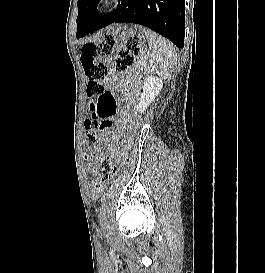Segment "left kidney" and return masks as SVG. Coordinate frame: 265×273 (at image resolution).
Returning a JSON list of instances; mask_svg holds the SVG:
<instances>
[{
    "label": "left kidney",
    "instance_id": "obj_1",
    "mask_svg": "<svg viewBox=\"0 0 265 273\" xmlns=\"http://www.w3.org/2000/svg\"><path fill=\"white\" fill-rule=\"evenodd\" d=\"M162 87V79L152 75L146 78L143 85V92L139 99L140 101L136 106L137 111L143 113L150 105V103L154 100V98L159 94Z\"/></svg>",
    "mask_w": 265,
    "mask_h": 273
}]
</instances>
